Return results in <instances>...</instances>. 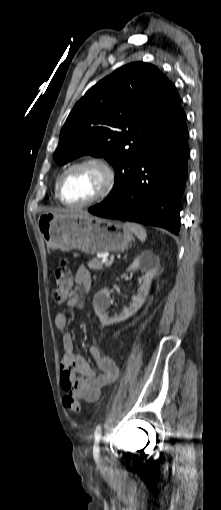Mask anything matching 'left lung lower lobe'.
Returning a JSON list of instances; mask_svg holds the SVG:
<instances>
[{
	"mask_svg": "<svg viewBox=\"0 0 221 510\" xmlns=\"http://www.w3.org/2000/svg\"><path fill=\"white\" fill-rule=\"evenodd\" d=\"M187 128L153 145L131 182L114 199L89 208L104 218L158 226L178 235L187 180Z\"/></svg>",
	"mask_w": 221,
	"mask_h": 510,
	"instance_id": "left-lung-lower-lobe-1",
	"label": "left lung lower lobe"
}]
</instances>
